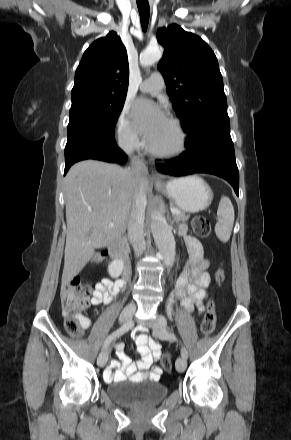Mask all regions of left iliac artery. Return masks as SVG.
<instances>
[{
    "instance_id": "1",
    "label": "left iliac artery",
    "mask_w": 291,
    "mask_h": 440,
    "mask_svg": "<svg viewBox=\"0 0 291 440\" xmlns=\"http://www.w3.org/2000/svg\"><path fill=\"white\" fill-rule=\"evenodd\" d=\"M164 335H165V338L168 339V340H172V341H176V340H177V337H176V335H175L174 333H168V332H165ZM181 355H182L184 358L187 359V357H188V352H187V350H186L185 347H182V349H181Z\"/></svg>"
}]
</instances>
